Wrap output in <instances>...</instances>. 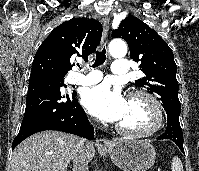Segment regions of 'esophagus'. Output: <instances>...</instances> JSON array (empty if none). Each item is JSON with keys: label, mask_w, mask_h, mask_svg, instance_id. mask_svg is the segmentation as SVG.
I'll return each mask as SVG.
<instances>
[{"label": "esophagus", "mask_w": 199, "mask_h": 171, "mask_svg": "<svg viewBox=\"0 0 199 171\" xmlns=\"http://www.w3.org/2000/svg\"><path fill=\"white\" fill-rule=\"evenodd\" d=\"M102 22H103L102 45H104L106 42L108 31H109V19L107 17H105ZM96 145L99 147H108L111 145V141L107 140V139L100 138V139L96 140Z\"/></svg>", "instance_id": "esophagus-1"}]
</instances>
